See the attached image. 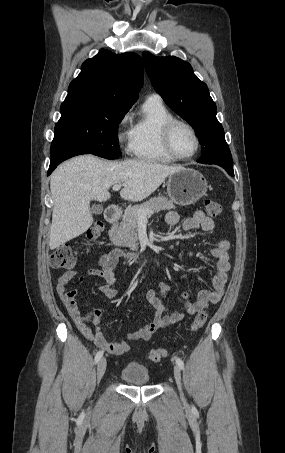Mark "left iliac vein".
<instances>
[{
	"label": "left iliac vein",
	"instance_id": "obj_1",
	"mask_svg": "<svg viewBox=\"0 0 285 453\" xmlns=\"http://www.w3.org/2000/svg\"><path fill=\"white\" fill-rule=\"evenodd\" d=\"M174 378H175L177 387H178V389H179L181 398H182L183 401H185L184 394H183V391H182L181 372H180V368H179L178 366H175V367H174Z\"/></svg>",
	"mask_w": 285,
	"mask_h": 453
}]
</instances>
